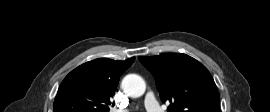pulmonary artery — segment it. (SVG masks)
Masks as SVG:
<instances>
[{"instance_id": "obj_1", "label": "pulmonary artery", "mask_w": 270, "mask_h": 112, "mask_svg": "<svg viewBox=\"0 0 270 112\" xmlns=\"http://www.w3.org/2000/svg\"><path fill=\"white\" fill-rule=\"evenodd\" d=\"M145 107L148 112H163L153 93H147L145 96ZM125 112V111H118Z\"/></svg>"}]
</instances>
